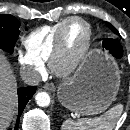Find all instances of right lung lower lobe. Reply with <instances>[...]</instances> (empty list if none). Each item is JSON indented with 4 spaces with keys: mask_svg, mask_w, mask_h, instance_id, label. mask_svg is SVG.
<instances>
[{
    "mask_svg": "<svg viewBox=\"0 0 130 130\" xmlns=\"http://www.w3.org/2000/svg\"><path fill=\"white\" fill-rule=\"evenodd\" d=\"M36 89H37L36 86L23 87V88L18 89L19 111H18L17 123L15 125L14 130L18 129V122H19V119H20V115L23 112V110H24L26 104L28 103V101L32 98Z\"/></svg>",
    "mask_w": 130,
    "mask_h": 130,
    "instance_id": "98d812e1",
    "label": "right lung lower lobe"
}]
</instances>
